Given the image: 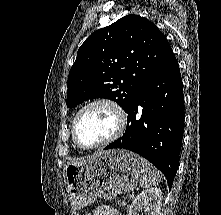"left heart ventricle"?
<instances>
[{
  "label": "left heart ventricle",
  "mask_w": 221,
  "mask_h": 215,
  "mask_svg": "<svg viewBox=\"0 0 221 215\" xmlns=\"http://www.w3.org/2000/svg\"><path fill=\"white\" fill-rule=\"evenodd\" d=\"M117 125L113 110L106 105L86 109L77 124V136L84 145H93L107 139Z\"/></svg>",
  "instance_id": "left-heart-ventricle-1"
}]
</instances>
